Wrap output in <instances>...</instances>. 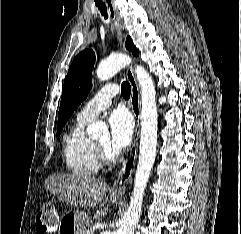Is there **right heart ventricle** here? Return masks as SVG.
<instances>
[{
  "mask_svg": "<svg viewBox=\"0 0 241 234\" xmlns=\"http://www.w3.org/2000/svg\"><path fill=\"white\" fill-rule=\"evenodd\" d=\"M86 124L87 122L77 120L68 132L63 147L66 167L79 176L94 175L101 169L95 142L85 134Z\"/></svg>",
  "mask_w": 241,
  "mask_h": 234,
  "instance_id": "obj_1",
  "label": "right heart ventricle"
}]
</instances>
